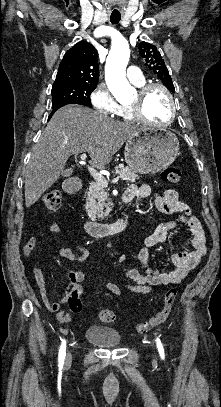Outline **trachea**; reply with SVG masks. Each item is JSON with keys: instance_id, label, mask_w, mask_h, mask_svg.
<instances>
[{"instance_id": "obj_1", "label": "trachea", "mask_w": 221, "mask_h": 407, "mask_svg": "<svg viewBox=\"0 0 221 407\" xmlns=\"http://www.w3.org/2000/svg\"><path fill=\"white\" fill-rule=\"evenodd\" d=\"M121 19V15L120 14H111L110 16V21L112 24H117Z\"/></svg>"}]
</instances>
